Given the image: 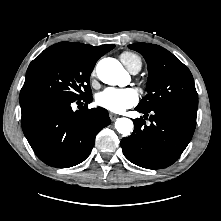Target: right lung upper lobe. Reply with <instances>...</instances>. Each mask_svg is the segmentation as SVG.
Returning <instances> with one entry per match:
<instances>
[{
    "mask_svg": "<svg viewBox=\"0 0 221 221\" xmlns=\"http://www.w3.org/2000/svg\"><path fill=\"white\" fill-rule=\"evenodd\" d=\"M52 47H65V48L76 50L82 53L87 59L96 63L97 60L101 56H103L105 53L112 50L115 46L114 45H102V46L95 47V46L82 44V43L60 42V43L53 45Z\"/></svg>",
    "mask_w": 221,
    "mask_h": 221,
    "instance_id": "obj_1",
    "label": "right lung upper lobe"
}]
</instances>
